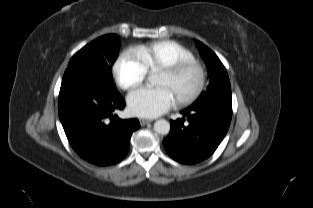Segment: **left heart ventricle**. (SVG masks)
Returning <instances> with one entry per match:
<instances>
[{
	"label": "left heart ventricle",
	"mask_w": 313,
	"mask_h": 208,
	"mask_svg": "<svg viewBox=\"0 0 313 208\" xmlns=\"http://www.w3.org/2000/svg\"><path fill=\"white\" fill-rule=\"evenodd\" d=\"M196 80L197 74L194 70L188 71L176 78H171L168 75L160 72L157 79V85L167 87L176 98L192 90Z\"/></svg>",
	"instance_id": "left-heart-ventricle-1"
}]
</instances>
